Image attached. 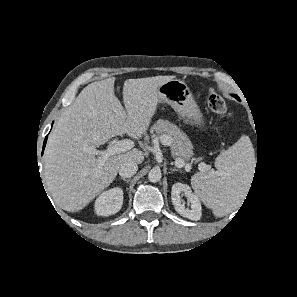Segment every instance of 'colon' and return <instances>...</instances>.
I'll return each mask as SVG.
<instances>
[{
  "instance_id": "1",
  "label": "colon",
  "mask_w": 297,
  "mask_h": 297,
  "mask_svg": "<svg viewBox=\"0 0 297 297\" xmlns=\"http://www.w3.org/2000/svg\"><path fill=\"white\" fill-rule=\"evenodd\" d=\"M207 104L209 109L222 118L231 116L224 99L214 90H210L207 94Z\"/></svg>"
}]
</instances>
